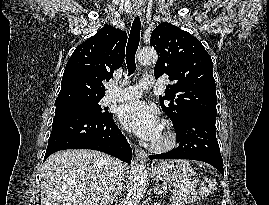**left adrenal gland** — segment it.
Here are the masks:
<instances>
[{"instance_id": "a2214340", "label": "left adrenal gland", "mask_w": 269, "mask_h": 205, "mask_svg": "<svg viewBox=\"0 0 269 205\" xmlns=\"http://www.w3.org/2000/svg\"><path fill=\"white\" fill-rule=\"evenodd\" d=\"M154 193L160 195L163 193V191L160 189V185L159 184H155V187H154Z\"/></svg>"}]
</instances>
